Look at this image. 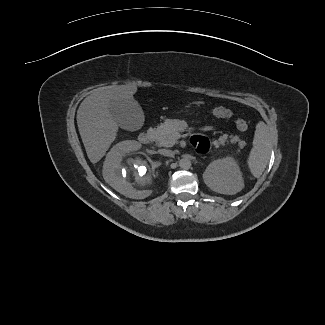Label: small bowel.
I'll return each instance as SVG.
<instances>
[{
  "mask_svg": "<svg viewBox=\"0 0 325 325\" xmlns=\"http://www.w3.org/2000/svg\"><path fill=\"white\" fill-rule=\"evenodd\" d=\"M191 143L195 151L199 154L207 153L211 146L209 139L204 136H193Z\"/></svg>",
  "mask_w": 325,
  "mask_h": 325,
  "instance_id": "small-bowel-1",
  "label": "small bowel"
}]
</instances>
